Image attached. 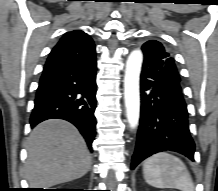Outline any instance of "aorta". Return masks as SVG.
Masks as SVG:
<instances>
[{
    "label": "aorta",
    "instance_id": "aorta-1",
    "mask_svg": "<svg viewBox=\"0 0 218 191\" xmlns=\"http://www.w3.org/2000/svg\"><path fill=\"white\" fill-rule=\"evenodd\" d=\"M143 63V54L140 50L130 53L126 61L124 75V101L126 117L131 129L138 126L140 118L139 80Z\"/></svg>",
    "mask_w": 218,
    "mask_h": 191
}]
</instances>
